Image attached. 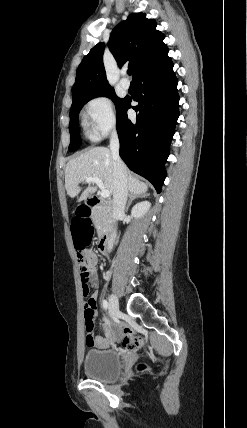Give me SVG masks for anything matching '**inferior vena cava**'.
<instances>
[{
    "instance_id": "1",
    "label": "inferior vena cava",
    "mask_w": 247,
    "mask_h": 428,
    "mask_svg": "<svg viewBox=\"0 0 247 428\" xmlns=\"http://www.w3.org/2000/svg\"><path fill=\"white\" fill-rule=\"evenodd\" d=\"M120 143L116 131H113L110 138V150L113 158V219L117 221L123 214L127 202L128 187H127V174L126 167L119 156ZM115 232L108 240V249L113 246Z\"/></svg>"
}]
</instances>
